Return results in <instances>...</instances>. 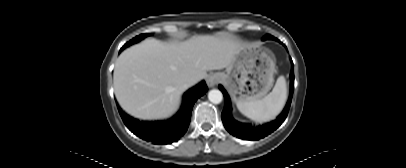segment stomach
<instances>
[{"mask_svg": "<svg viewBox=\"0 0 406 168\" xmlns=\"http://www.w3.org/2000/svg\"><path fill=\"white\" fill-rule=\"evenodd\" d=\"M275 71V60L270 52L257 45H245L233 63L219 75L221 83L238 104L265 97L273 86Z\"/></svg>", "mask_w": 406, "mask_h": 168, "instance_id": "1", "label": "stomach"}]
</instances>
